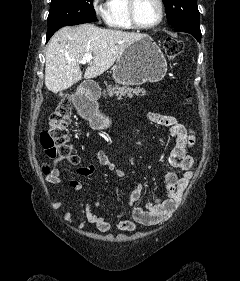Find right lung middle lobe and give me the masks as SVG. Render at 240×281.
<instances>
[{"label": "right lung middle lobe", "mask_w": 240, "mask_h": 281, "mask_svg": "<svg viewBox=\"0 0 240 281\" xmlns=\"http://www.w3.org/2000/svg\"><path fill=\"white\" fill-rule=\"evenodd\" d=\"M97 21L92 0H52L48 15L47 40L59 28Z\"/></svg>", "instance_id": "1"}]
</instances>
